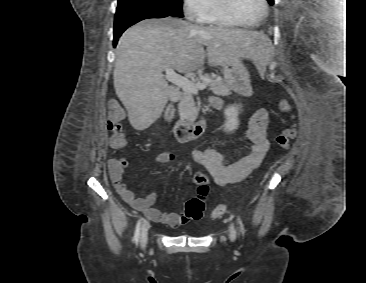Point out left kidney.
<instances>
[{
    "mask_svg": "<svg viewBox=\"0 0 366 283\" xmlns=\"http://www.w3.org/2000/svg\"><path fill=\"white\" fill-rule=\"evenodd\" d=\"M240 107L238 105H230L226 107L224 110V115L226 118L225 124H224V130L231 132L238 128L239 126V120H238V113H239Z\"/></svg>",
    "mask_w": 366,
    "mask_h": 283,
    "instance_id": "left-kidney-1",
    "label": "left kidney"
}]
</instances>
